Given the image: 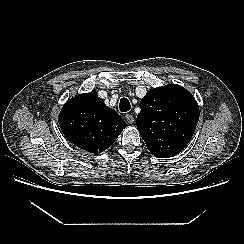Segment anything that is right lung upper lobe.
Masks as SVG:
<instances>
[{"label": "right lung upper lobe", "instance_id": "right-lung-upper-lobe-1", "mask_svg": "<svg viewBox=\"0 0 244 244\" xmlns=\"http://www.w3.org/2000/svg\"><path fill=\"white\" fill-rule=\"evenodd\" d=\"M59 125L71 143L96 154L114 143L126 122L95 92H90L73 97L64 104Z\"/></svg>", "mask_w": 244, "mask_h": 244}]
</instances>
